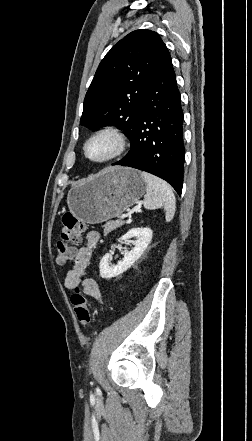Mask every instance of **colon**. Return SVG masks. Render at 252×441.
Listing matches in <instances>:
<instances>
[{
    "instance_id": "colon-1",
    "label": "colon",
    "mask_w": 252,
    "mask_h": 441,
    "mask_svg": "<svg viewBox=\"0 0 252 441\" xmlns=\"http://www.w3.org/2000/svg\"><path fill=\"white\" fill-rule=\"evenodd\" d=\"M61 239L57 242L56 261L60 265L70 262L75 254L76 245L81 240V236L86 227L71 213H66L62 217ZM71 302L75 314L81 324L87 325L91 320L90 311L87 305V299L82 294L80 287H76L71 297Z\"/></svg>"
}]
</instances>
